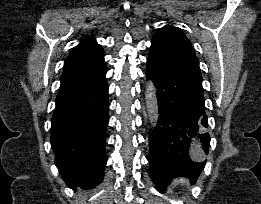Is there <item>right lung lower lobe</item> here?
Listing matches in <instances>:
<instances>
[{
  "label": "right lung lower lobe",
  "instance_id": "right-lung-lower-lobe-1",
  "mask_svg": "<svg viewBox=\"0 0 261 204\" xmlns=\"http://www.w3.org/2000/svg\"><path fill=\"white\" fill-rule=\"evenodd\" d=\"M104 59L64 72L51 122L55 164L68 187L99 184L107 162L108 87Z\"/></svg>",
  "mask_w": 261,
  "mask_h": 204
}]
</instances>
